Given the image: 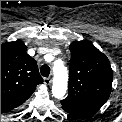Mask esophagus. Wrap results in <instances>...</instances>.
Listing matches in <instances>:
<instances>
[{
    "mask_svg": "<svg viewBox=\"0 0 122 122\" xmlns=\"http://www.w3.org/2000/svg\"><path fill=\"white\" fill-rule=\"evenodd\" d=\"M52 83V79L50 77L44 78V84L50 85Z\"/></svg>",
    "mask_w": 122,
    "mask_h": 122,
    "instance_id": "1",
    "label": "esophagus"
}]
</instances>
